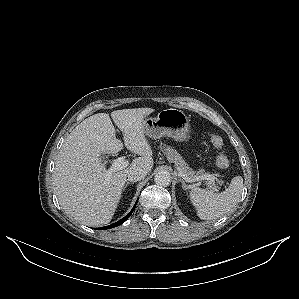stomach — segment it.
I'll return each instance as SVG.
<instances>
[{
    "label": "stomach",
    "mask_w": 299,
    "mask_h": 299,
    "mask_svg": "<svg viewBox=\"0 0 299 299\" xmlns=\"http://www.w3.org/2000/svg\"><path fill=\"white\" fill-rule=\"evenodd\" d=\"M146 136L159 139L168 136L176 141L190 139V124L186 114L178 109L169 108L158 112L157 116L143 121Z\"/></svg>",
    "instance_id": "0dacf381"
}]
</instances>
